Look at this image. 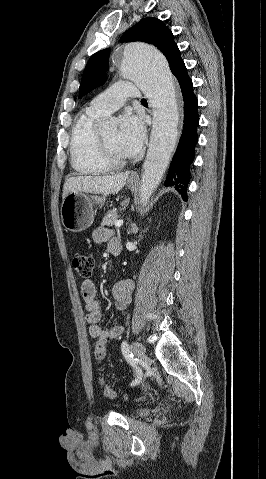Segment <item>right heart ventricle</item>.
<instances>
[{
  "instance_id": "obj_1",
  "label": "right heart ventricle",
  "mask_w": 266,
  "mask_h": 479,
  "mask_svg": "<svg viewBox=\"0 0 266 479\" xmlns=\"http://www.w3.org/2000/svg\"><path fill=\"white\" fill-rule=\"evenodd\" d=\"M100 116L87 108L73 126L70 139L71 163L79 174L102 175L112 169L100 154L98 133L94 128Z\"/></svg>"
}]
</instances>
